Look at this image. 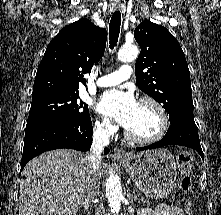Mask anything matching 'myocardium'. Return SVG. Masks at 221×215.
Wrapping results in <instances>:
<instances>
[{
    "label": "myocardium",
    "mask_w": 221,
    "mask_h": 215,
    "mask_svg": "<svg viewBox=\"0 0 221 215\" xmlns=\"http://www.w3.org/2000/svg\"><path fill=\"white\" fill-rule=\"evenodd\" d=\"M138 104H150L155 108L160 120L159 129L154 135L150 137H139L132 134L127 128H125L124 135L126 139L133 143L145 145L160 141L165 136L169 128V117L167 111L159 101L150 96L141 97L138 101Z\"/></svg>",
    "instance_id": "f54148a6"
}]
</instances>
